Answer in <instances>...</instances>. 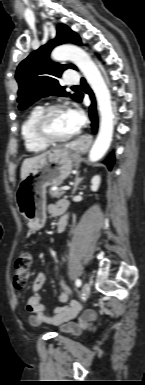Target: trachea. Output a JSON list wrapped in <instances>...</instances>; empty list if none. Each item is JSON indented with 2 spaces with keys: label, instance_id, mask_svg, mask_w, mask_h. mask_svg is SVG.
<instances>
[{
  "label": "trachea",
  "instance_id": "1",
  "mask_svg": "<svg viewBox=\"0 0 145 385\" xmlns=\"http://www.w3.org/2000/svg\"><path fill=\"white\" fill-rule=\"evenodd\" d=\"M77 87H79V86H73V88H77Z\"/></svg>",
  "mask_w": 145,
  "mask_h": 385
}]
</instances>
